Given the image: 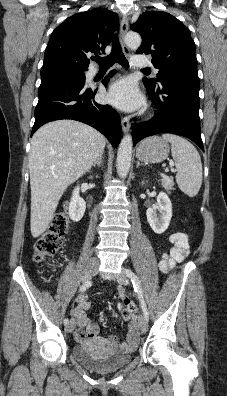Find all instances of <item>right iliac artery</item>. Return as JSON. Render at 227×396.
Returning <instances> with one entry per match:
<instances>
[{"instance_id": "obj_1", "label": "right iliac artery", "mask_w": 227, "mask_h": 396, "mask_svg": "<svg viewBox=\"0 0 227 396\" xmlns=\"http://www.w3.org/2000/svg\"><path fill=\"white\" fill-rule=\"evenodd\" d=\"M91 284H92L91 281L85 282V283L80 287L79 291H80V292L86 291V290L91 286ZM68 323H69L68 318H65V319H64V325H68Z\"/></svg>"}]
</instances>
